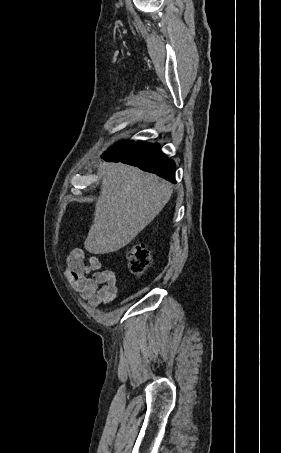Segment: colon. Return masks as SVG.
<instances>
[{
	"mask_svg": "<svg viewBox=\"0 0 281 453\" xmlns=\"http://www.w3.org/2000/svg\"><path fill=\"white\" fill-rule=\"evenodd\" d=\"M129 268L133 273L143 274L154 262L150 250L143 242H133L126 248Z\"/></svg>",
	"mask_w": 281,
	"mask_h": 453,
	"instance_id": "obj_1",
	"label": "colon"
}]
</instances>
